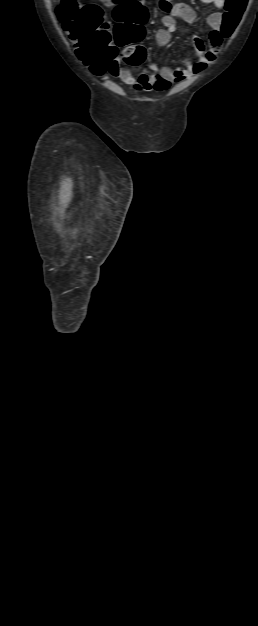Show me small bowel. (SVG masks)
<instances>
[{
	"mask_svg": "<svg viewBox=\"0 0 258 626\" xmlns=\"http://www.w3.org/2000/svg\"><path fill=\"white\" fill-rule=\"evenodd\" d=\"M206 4H213L217 9L225 6V0H201ZM157 7L164 13L162 27L156 31L155 40L159 47H165L171 40V35L176 31V20L181 19L188 24L196 20L195 10L185 3H173L171 0H158ZM223 13L215 12L207 17L210 27L208 34V46L198 37L192 38L195 61L186 60L184 65L175 69L151 65L152 74L142 73L135 75L122 67L119 60L113 61L108 72L124 84L131 86L140 92H164L174 83H179L186 78L201 72L209 64L215 61L222 49L224 36L221 33Z\"/></svg>",
	"mask_w": 258,
	"mask_h": 626,
	"instance_id": "c3829d8e",
	"label": "small bowel"
}]
</instances>
